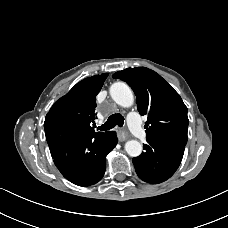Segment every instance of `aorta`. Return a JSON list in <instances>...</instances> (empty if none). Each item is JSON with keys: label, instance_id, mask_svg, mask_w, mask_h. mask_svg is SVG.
<instances>
[{"label": "aorta", "instance_id": "obj_1", "mask_svg": "<svg viewBox=\"0 0 228 228\" xmlns=\"http://www.w3.org/2000/svg\"><path fill=\"white\" fill-rule=\"evenodd\" d=\"M112 99L122 107H131L134 96L130 87L124 82H116L110 87ZM142 145L136 140H130L125 144V150L131 157H138L142 153Z\"/></svg>", "mask_w": 228, "mask_h": 228}]
</instances>
